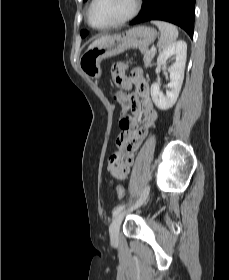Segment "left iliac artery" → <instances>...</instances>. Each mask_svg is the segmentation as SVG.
Here are the masks:
<instances>
[{
    "mask_svg": "<svg viewBox=\"0 0 229 280\" xmlns=\"http://www.w3.org/2000/svg\"><path fill=\"white\" fill-rule=\"evenodd\" d=\"M125 205H120L118 207H116L113 210V217H115L117 214H119L123 209H124Z\"/></svg>",
    "mask_w": 229,
    "mask_h": 280,
    "instance_id": "obj_1",
    "label": "left iliac artery"
}]
</instances>
